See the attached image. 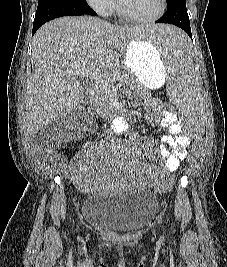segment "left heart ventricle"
<instances>
[{"mask_svg": "<svg viewBox=\"0 0 227 267\" xmlns=\"http://www.w3.org/2000/svg\"><path fill=\"white\" fill-rule=\"evenodd\" d=\"M127 13L138 18L155 15L160 7V0H121Z\"/></svg>", "mask_w": 227, "mask_h": 267, "instance_id": "left-heart-ventricle-1", "label": "left heart ventricle"}]
</instances>
